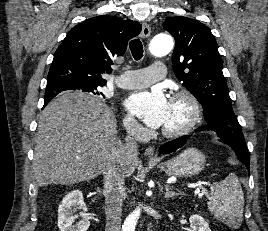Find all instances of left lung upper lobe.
Returning <instances> with one entry per match:
<instances>
[{
	"label": "left lung upper lobe",
	"mask_w": 268,
	"mask_h": 231,
	"mask_svg": "<svg viewBox=\"0 0 268 231\" xmlns=\"http://www.w3.org/2000/svg\"><path fill=\"white\" fill-rule=\"evenodd\" d=\"M163 28L176 41L172 55L176 77L203 106L208 125L195 131L212 130L224 143L246 148L210 29L198 20L183 16L167 18Z\"/></svg>",
	"instance_id": "left-lung-upper-lobe-1"
}]
</instances>
